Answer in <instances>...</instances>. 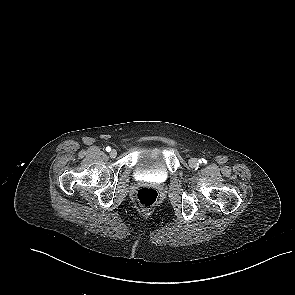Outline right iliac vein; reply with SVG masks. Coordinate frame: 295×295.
<instances>
[{"mask_svg": "<svg viewBox=\"0 0 295 295\" xmlns=\"http://www.w3.org/2000/svg\"><path fill=\"white\" fill-rule=\"evenodd\" d=\"M117 156V151L115 150V149H112L111 151H110V157L111 158H115Z\"/></svg>", "mask_w": 295, "mask_h": 295, "instance_id": "63e3f726", "label": "right iliac vein"}]
</instances>
